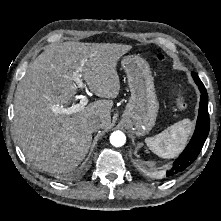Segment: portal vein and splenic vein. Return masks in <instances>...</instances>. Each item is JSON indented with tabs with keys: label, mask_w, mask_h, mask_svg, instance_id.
<instances>
[{
	"label": "portal vein and splenic vein",
	"mask_w": 221,
	"mask_h": 221,
	"mask_svg": "<svg viewBox=\"0 0 221 221\" xmlns=\"http://www.w3.org/2000/svg\"><path fill=\"white\" fill-rule=\"evenodd\" d=\"M82 68H78L73 72L72 79L76 82L79 88L84 89L86 88L85 84L83 83L81 76H82ZM88 103V98L86 96H80V102L78 104H73L71 107L64 108L61 107H53V111L56 113L71 115L76 112H79L85 108Z\"/></svg>",
	"instance_id": "obj_1"
}]
</instances>
